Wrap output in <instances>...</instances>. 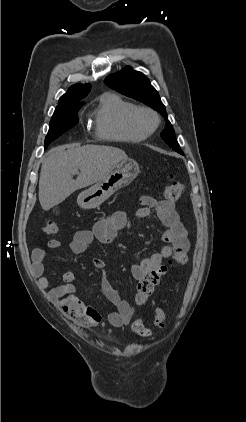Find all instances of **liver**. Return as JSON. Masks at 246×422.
Segmentation results:
<instances>
[{
  "instance_id": "6515ba94",
  "label": "liver",
  "mask_w": 246,
  "mask_h": 422,
  "mask_svg": "<svg viewBox=\"0 0 246 422\" xmlns=\"http://www.w3.org/2000/svg\"><path fill=\"white\" fill-rule=\"evenodd\" d=\"M126 153L118 148L76 144L51 149L44 159L39 179V202L43 210L63 202L78 189L103 179ZM80 174L73 179V174Z\"/></svg>"
}]
</instances>
